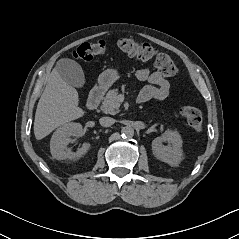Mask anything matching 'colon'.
<instances>
[{"label":"colon","instance_id":"5ec220e1","mask_svg":"<svg viewBox=\"0 0 239 239\" xmlns=\"http://www.w3.org/2000/svg\"><path fill=\"white\" fill-rule=\"evenodd\" d=\"M115 43L126 54L143 61L153 60L163 76L171 77L177 73V67L171 58L165 53L158 52L148 43H138L131 38L118 39ZM106 46L105 40H99L95 43H83L72 52V57L76 60L90 61L96 55L104 53ZM181 116L194 130L200 131L202 129L203 117L197 107L191 105L182 107Z\"/></svg>","mask_w":239,"mask_h":239}]
</instances>
